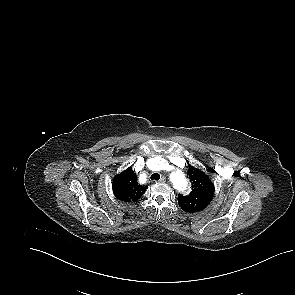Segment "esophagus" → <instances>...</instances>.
Segmentation results:
<instances>
[{
    "label": "esophagus",
    "mask_w": 295,
    "mask_h": 295,
    "mask_svg": "<svg viewBox=\"0 0 295 295\" xmlns=\"http://www.w3.org/2000/svg\"><path fill=\"white\" fill-rule=\"evenodd\" d=\"M165 181H166V178H165L164 176H162V177L159 179L158 182H160V183H164Z\"/></svg>",
    "instance_id": "1"
}]
</instances>
